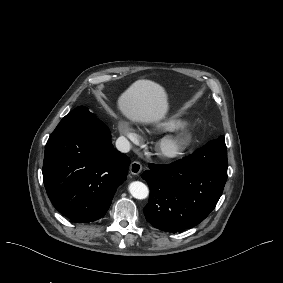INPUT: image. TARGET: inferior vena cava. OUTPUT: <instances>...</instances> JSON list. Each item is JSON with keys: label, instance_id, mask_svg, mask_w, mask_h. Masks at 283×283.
Here are the masks:
<instances>
[{"label": "inferior vena cava", "instance_id": "1", "mask_svg": "<svg viewBox=\"0 0 283 283\" xmlns=\"http://www.w3.org/2000/svg\"><path fill=\"white\" fill-rule=\"evenodd\" d=\"M116 147L120 152L127 153L130 151V143L125 137H119L116 140Z\"/></svg>", "mask_w": 283, "mask_h": 283}]
</instances>
